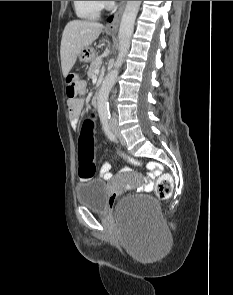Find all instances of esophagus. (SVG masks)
Wrapping results in <instances>:
<instances>
[{
  "mask_svg": "<svg viewBox=\"0 0 233 295\" xmlns=\"http://www.w3.org/2000/svg\"><path fill=\"white\" fill-rule=\"evenodd\" d=\"M124 7H125V1H122L119 9L114 14L112 21L106 25V28H105L106 31H109V32L117 31Z\"/></svg>",
  "mask_w": 233,
  "mask_h": 295,
  "instance_id": "obj_1",
  "label": "esophagus"
}]
</instances>
